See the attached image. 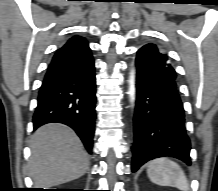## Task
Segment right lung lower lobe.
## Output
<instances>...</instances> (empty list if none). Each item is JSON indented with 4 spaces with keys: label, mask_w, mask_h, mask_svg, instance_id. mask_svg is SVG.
Instances as JSON below:
<instances>
[{
    "label": "right lung lower lobe",
    "mask_w": 218,
    "mask_h": 191,
    "mask_svg": "<svg viewBox=\"0 0 218 191\" xmlns=\"http://www.w3.org/2000/svg\"><path fill=\"white\" fill-rule=\"evenodd\" d=\"M94 60L88 42L75 36L58 49L39 89L34 129L51 122L73 128L88 153L95 130L96 84Z\"/></svg>",
    "instance_id": "1"
}]
</instances>
